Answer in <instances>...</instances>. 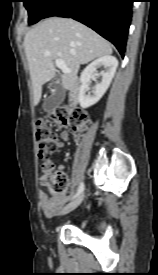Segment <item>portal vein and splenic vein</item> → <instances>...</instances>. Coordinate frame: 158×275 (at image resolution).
Masks as SVG:
<instances>
[{"label":"portal vein and splenic vein","instance_id":"portal-vein-and-splenic-vein-1","mask_svg":"<svg viewBox=\"0 0 158 275\" xmlns=\"http://www.w3.org/2000/svg\"><path fill=\"white\" fill-rule=\"evenodd\" d=\"M56 66L61 69L63 72L67 73L71 70L66 66L65 62L62 59H56L55 60Z\"/></svg>","mask_w":158,"mask_h":275}]
</instances>
